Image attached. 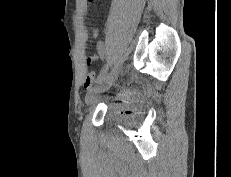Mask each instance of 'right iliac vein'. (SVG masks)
I'll return each mask as SVG.
<instances>
[{
  "label": "right iliac vein",
  "mask_w": 231,
  "mask_h": 177,
  "mask_svg": "<svg viewBox=\"0 0 231 177\" xmlns=\"http://www.w3.org/2000/svg\"><path fill=\"white\" fill-rule=\"evenodd\" d=\"M117 77V71L113 70L109 75H107L99 85L92 88L86 95L85 101L87 105H91L96 100V96L98 93L104 92L110 86L113 85L115 79Z\"/></svg>",
  "instance_id": "obj_1"
}]
</instances>
